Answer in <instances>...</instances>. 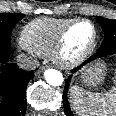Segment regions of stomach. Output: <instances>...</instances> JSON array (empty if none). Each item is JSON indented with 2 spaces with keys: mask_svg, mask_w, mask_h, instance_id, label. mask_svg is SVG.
<instances>
[{
  "mask_svg": "<svg viewBox=\"0 0 116 116\" xmlns=\"http://www.w3.org/2000/svg\"><path fill=\"white\" fill-rule=\"evenodd\" d=\"M105 75V66L98 62L86 68L82 73V81L87 86H96L102 82Z\"/></svg>",
  "mask_w": 116,
  "mask_h": 116,
  "instance_id": "stomach-1",
  "label": "stomach"
}]
</instances>
